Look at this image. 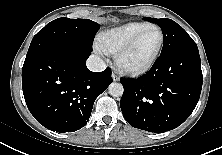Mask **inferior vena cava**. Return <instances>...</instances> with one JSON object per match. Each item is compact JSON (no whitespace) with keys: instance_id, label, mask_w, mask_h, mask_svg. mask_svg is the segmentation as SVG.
I'll return each instance as SVG.
<instances>
[{"instance_id":"inferior-vena-cava-1","label":"inferior vena cava","mask_w":222,"mask_h":155,"mask_svg":"<svg viewBox=\"0 0 222 155\" xmlns=\"http://www.w3.org/2000/svg\"><path fill=\"white\" fill-rule=\"evenodd\" d=\"M86 64H87V68L93 72H101L106 69L105 62L96 55H91L88 58Z\"/></svg>"}]
</instances>
